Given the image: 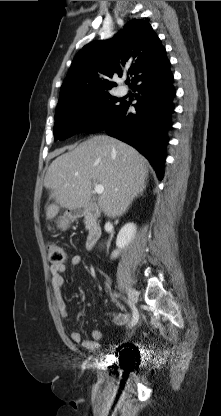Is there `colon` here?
<instances>
[{"instance_id": "1", "label": "colon", "mask_w": 221, "mask_h": 416, "mask_svg": "<svg viewBox=\"0 0 221 416\" xmlns=\"http://www.w3.org/2000/svg\"><path fill=\"white\" fill-rule=\"evenodd\" d=\"M48 254H49V261L55 265H60L64 263L66 259L65 250L56 243H50L48 245Z\"/></svg>"}]
</instances>
